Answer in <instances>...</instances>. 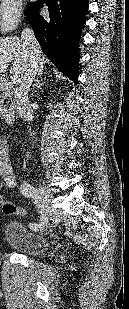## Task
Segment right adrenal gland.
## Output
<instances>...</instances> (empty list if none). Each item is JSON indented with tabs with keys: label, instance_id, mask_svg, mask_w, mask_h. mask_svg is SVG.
I'll return each mask as SVG.
<instances>
[{
	"label": "right adrenal gland",
	"instance_id": "right-adrenal-gland-1",
	"mask_svg": "<svg viewBox=\"0 0 129 309\" xmlns=\"http://www.w3.org/2000/svg\"><path fill=\"white\" fill-rule=\"evenodd\" d=\"M43 73H40L39 78L35 81V83L33 84L32 89L34 90L36 87L40 88L42 85H44V82H42L43 80L41 79Z\"/></svg>",
	"mask_w": 129,
	"mask_h": 309
}]
</instances>
